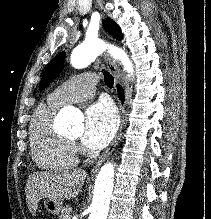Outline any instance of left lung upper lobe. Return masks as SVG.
<instances>
[{
	"label": "left lung upper lobe",
	"mask_w": 211,
	"mask_h": 219,
	"mask_svg": "<svg viewBox=\"0 0 211 219\" xmlns=\"http://www.w3.org/2000/svg\"><path fill=\"white\" fill-rule=\"evenodd\" d=\"M104 29L108 31L117 40L122 39V33L119 25L115 23L112 19L107 18L103 20ZM66 54L65 52H60L55 56V58L47 66L42 79L40 81L39 88L42 90L47 87L61 72Z\"/></svg>",
	"instance_id": "1"
}]
</instances>
